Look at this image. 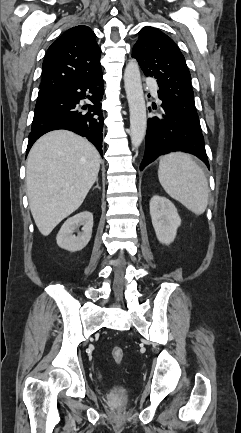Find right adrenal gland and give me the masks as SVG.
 <instances>
[{
	"instance_id": "2a0ac1e0",
	"label": "right adrenal gland",
	"mask_w": 241,
	"mask_h": 433,
	"mask_svg": "<svg viewBox=\"0 0 241 433\" xmlns=\"http://www.w3.org/2000/svg\"><path fill=\"white\" fill-rule=\"evenodd\" d=\"M95 188H98L99 190H101V188H100V186H99V183H98V178L96 179V186L93 188V190H94Z\"/></svg>"
}]
</instances>
